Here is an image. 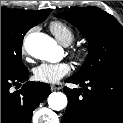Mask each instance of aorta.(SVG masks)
I'll use <instances>...</instances> for the list:
<instances>
[{
    "label": "aorta",
    "mask_w": 123,
    "mask_h": 123,
    "mask_svg": "<svg viewBox=\"0 0 123 123\" xmlns=\"http://www.w3.org/2000/svg\"><path fill=\"white\" fill-rule=\"evenodd\" d=\"M24 47L31 56L53 62L59 51L55 40L43 33H31L24 40ZM48 105L52 110L60 111L67 106V97L64 93L53 92L48 97Z\"/></svg>",
    "instance_id": "aorta-1"
}]
</instances>
